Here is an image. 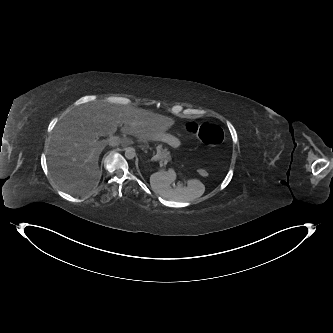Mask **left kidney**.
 Masks as SVG:
<instances>
[{
  "label": "left kidney",
  "mask_w": 333,
  "mask_h": 333,
  "mask_svg": "<svg viewBox=\"0 0 333 333\" xmlns=\"http://www.w3.org/2000/svg\"><path fill=\"white\" fill-rule=\"evenodd\" d=\"M171 173H172V174H174V175H176V174H175V172H174V171H172V170H171Z\"/></svg>",
  "instance_id": "5707ae66"
}]
</instances>
